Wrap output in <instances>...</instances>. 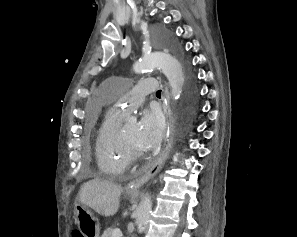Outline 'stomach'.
I'll return each mask as SVG.
<instances>
[{"mask_svg": "<svg viewBox=\"0 0 297 237\" xmlns=\"http://www.w3.org/2000/svg\"><path fill=\"white\" fill-rule=\"evenodd\" d=\"M132 195L133 192H127ZM78 229L83 237H99L100 224L94 214L84 205H77L74 210Z\"/></svg>", "mask_w": 297, "mask_h": 237, "instance_id": "1", "label": "stomach"}]
</instances>
